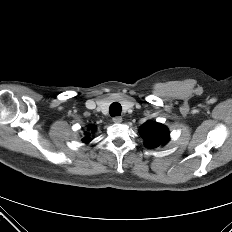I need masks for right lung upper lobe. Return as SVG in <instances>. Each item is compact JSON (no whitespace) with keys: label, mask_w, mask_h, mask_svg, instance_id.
I'll use <instances>...</instances> for the list:
<instances>
[{"label":"right lung upper lobe","mask_w":232,"mask_h":232,"mask_svg":"<svg viewBox=\"0 0 232 232\" xmlns=\"http://www.w3.org/2000/svg\"><path fill=\"white\" fill-rule=\"evenodd\" d=\"M92 128V126H90V129ZM92 139L90 137H84L83 141L85 142H90Z\"/></svg>","instance_id":"cb5924a9"}]
</instances>
